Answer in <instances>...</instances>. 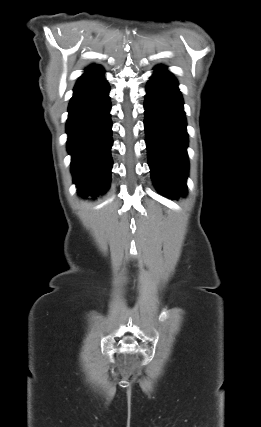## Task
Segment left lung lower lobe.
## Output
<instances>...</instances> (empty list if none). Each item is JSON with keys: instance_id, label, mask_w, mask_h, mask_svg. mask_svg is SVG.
Listing matches in <instances>:
<instances>
[{"instance_id": "obj_1", "label": "left lung lower lobe", "mask_w": 261, "mask_h": 427, "mask_svg": "<svg viewBox=\"0 0 261 427\" xmlns=\"http://www.w3.org/2000/svg\"><path fill=\"white\" fill-rule=\"evenodd\" d=\"M146 87L145 133L148 163L157 190L169 197L185 196L188 136L183 100L176 79L163 66Z\"/></svg>"}]
</instances>
